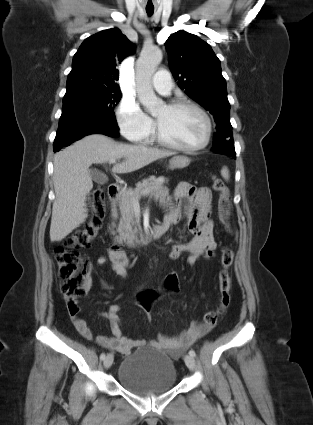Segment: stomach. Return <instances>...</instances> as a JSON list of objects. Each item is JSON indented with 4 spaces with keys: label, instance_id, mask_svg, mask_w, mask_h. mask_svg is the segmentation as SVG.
<instances>
[{
    "label": "stomach",
    "instance_id": "0dacf381",
    "mask_svg": "<svg viewBox=\"0 0 313 425\" xmlns=\"http://www.w3.org/2000/svg\"><path fill=\"white\" fill-rule=\"evenodd\" d=\"M190 162H191V159L187 156H184V155L174 156L169 161V169L171 170L183 169L187 167L190 164Z\"/></svg>",
    "mask_w": 313,
    "mask_h": 425
}]
</instances>
